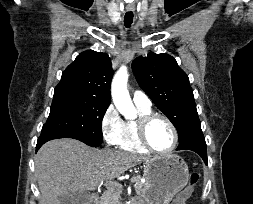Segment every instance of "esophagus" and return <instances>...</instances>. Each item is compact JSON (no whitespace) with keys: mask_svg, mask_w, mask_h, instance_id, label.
Segmentation results:
<instances>
[{"mask_svg":"<svg viewBox=\"0 0 253 204\" xmlns=\"http://www.w3.org/2000/svg\"><path fill=\"white\" fill-rule=\"evenodd\" d=\"M128 11H132L134 9V6L133 5H127V8H126Z\"/></svg>","mask_w":253,"mask_h":204,"instance_id":"34e87169","label":"esophagus"}]
</instances>
